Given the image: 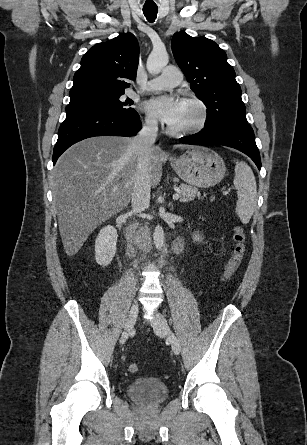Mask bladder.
Returning a JSON list of instances; mask_svg holds the SVG:
<instances>
[{
	"label": "bladder",
	"mask_w": 307,
	"mask_h": 445,
	"mask_svg": "<svg viewBox=\"0 0 307 445\" xmlns=\"http://www.w3.org/2000/svg\"><path fill=\"white\" fill-rule=\"evenodd\" d=\"M168 387L155 377L138 378L126 387L127 396L134 402L154 406L163 402L168 396Z\"/></svg>",
	"instance_id": "obj_1"
}]
</instances>
